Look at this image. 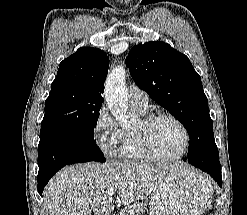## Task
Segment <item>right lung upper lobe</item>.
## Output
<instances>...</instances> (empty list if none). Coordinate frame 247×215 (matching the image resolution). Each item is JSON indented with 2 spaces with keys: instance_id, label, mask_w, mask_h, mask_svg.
Returning a JSON list of instances; mask_svg holds the SVG:
<instances>
[{
  "instance_id": "right-lung-upper-lobe-1",
  "label": "right lung upper lobe",
  "mask_w": 247,
  "mask_h": 215,
  "mask_svg": "<svg viewBox=\"0 0 247 215\" xmlns=\"http://www.w3.org/2000/svg\"><path fill=\"white\" fill-rule=\"evenodd\" d=\"M109 59L97 48L82 47L64 59L51 85V92L69 89L75 95L102 101Z\"/></svg>"
}]
</instances>
